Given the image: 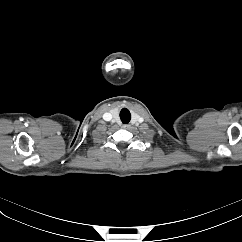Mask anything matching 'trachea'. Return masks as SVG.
<instances>
[{
	"mask_svg": "<svg viewBox=\"0 0 242 242\" xmlns=\"http://www.w3.org/2000/svg\"><path fill=\"white\" fill-rule=\"evenodd\" d=\"M120 118L121 121L125 124L128 123L130 121L131 115L130 112L127 109H122L120 112Z\"/></svg>",
	"mask_w": 242,
	"mask_h": 242,
	"instance_id": "1",
	"label": "trachea"
}]
</instances>
